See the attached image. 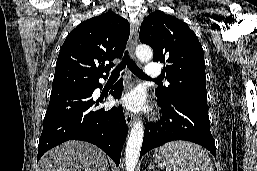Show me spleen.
<instances>
[{
  "label": "spleen",
  "mask_w": 257,
  "mask_h": 171,
  "mask_svg": "<svg viewBox=\"0 0 257 171\" xmlns=\"http://www.w3.org/2000/svg\"><path fill=\"white\" fill-rule=\"evenodd\" d=\"M161 151L165 156L166 171H214L207 152L192 142H170Z\"/></svg>",
  "instance_id": "obj_1"
}]
</instances>
